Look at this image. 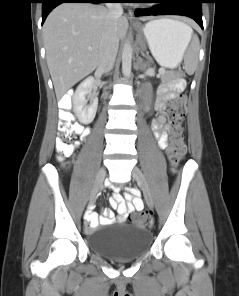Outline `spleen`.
Masks as SVG:
<instances>
[{
  "instance_id": "spleen-1",
  "label": "spleen",
  "mask_w": 239,
  "mask_h": 296,
  "mask_svg": "<svg viewBox=\"0 0 239 296\" xmlns=\"http://www.w3.org/2000/svg\"><path fill=\"white\" fill-rule=\"evenodd\" d=\"M188 32H189V41L192 36V29L188 27ZM189 43V42H188ZM198 50H199V40L195 36L193 38V41L191 43L190 49L185 57V70L188 74H193L197 65L198 61Z\"/></svg>"
}]
</instances>
